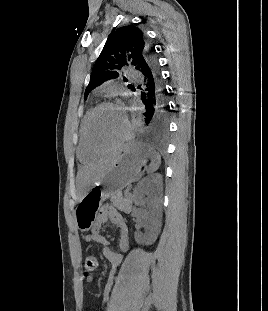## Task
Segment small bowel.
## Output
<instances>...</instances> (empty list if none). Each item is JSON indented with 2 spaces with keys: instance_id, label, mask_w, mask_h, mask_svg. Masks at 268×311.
<instances>
[{
  "instance_id": "1",
  "label": "small bowel",
  "mask_w": 268,
  "mask_h": 311,
  "mask_svg": "<svg viewBox=\"0 0 268 311\" xmlns=\"http://www.w3.org/2000/svg\"><path fill=\"white\" fill-rule=\"evenodd\" d=\"M112 223L119 232V247L122 253L116 252L110 245V242L101 233V227L106 223ZM85 241L87 243L96 242L103 245V255L104 257L113 265L114 269L111 273L108 283L104 289L103 302L107 303L110 298V290L112 286V281L114 274L116 273L117 267L123 262L124 255L129 250V233L128 228L121 216V214L112 207H105L100 213V216L92 228L91 232L86 235ZM94 280L92 274H88L85 277V282L87 284L92 283Z\"/></svg>"
}]
</instances>
